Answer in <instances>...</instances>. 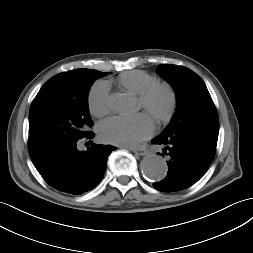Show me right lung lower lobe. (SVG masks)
I'll use <instances>...</instances> for the list:
<instances>
[{"mask_svg": "<svg viewBox=\"0 0 253 253\" xmlns=\"http://www.w3.org/2000/svg\"><path fill=\"white\" fill-rule=\"evenodd\" d=\"M89 132L86 138H93ZM111 145L93 144L78 151L77 141L61 146L41 160L33 162L43 179L53 188L80 195L92 190L103 178L107 157L115 150Z\"/></svg>", "mask_w": 253, "mask_h": 253, "instance_id": "obj_1", "label": "right lung lower lobe"}]
</instances>
